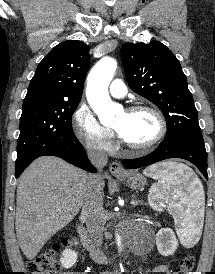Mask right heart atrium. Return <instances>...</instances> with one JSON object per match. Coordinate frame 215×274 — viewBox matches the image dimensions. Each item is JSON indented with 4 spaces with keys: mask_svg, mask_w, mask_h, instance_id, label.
I'll use <instances>...</instances> for the list:
<instances>
[{
    "mask_svg": "<svg viewBox=\"0 0 215 274\" xmlns=\"http://www.w3.org/2000/svg\"><path fill=\"white\" fill-rule=\"evenodd\" d=\"M72 126L76 138L89 150L107 153L114 148L113 134L96 119L92 111L80 104L73 113Z\"/></svg>",
    "mask_w": 215,
    "mask_h": 274,
    "instance_id": "1",
    "label": "right heart atrium"
}]
</instances>
